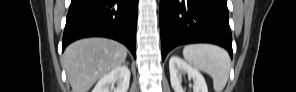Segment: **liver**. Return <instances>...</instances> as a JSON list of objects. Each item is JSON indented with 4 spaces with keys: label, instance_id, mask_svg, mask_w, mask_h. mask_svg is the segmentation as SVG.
<instances>
[{
    "label": "liver",
    "instance_id": "1",
    "mask_svg": "<svg viewBox=\"0 0 296 92\" xmlns=\"http://www.w3.org/2000/svg\"><path fill=\"white\" fill-rule=\"evenodd\" d=\"M127 49L117 41L106 38H87L70 44L61 59L72 92H88L94 83L121 66Z\"/></svg>",
    "mask_w": 296,
    "mask_h": 92
}]
</instances>
